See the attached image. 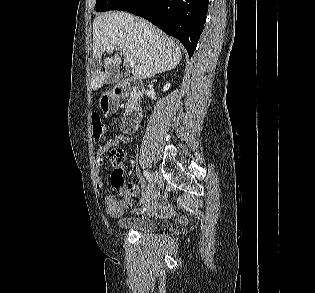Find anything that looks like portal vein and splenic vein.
<instances>
[{"instance_id":"obj_1","label":"portal vein and splenic vein","mask_w":315,"mask_h":293,"mask_svg":"<svg viewBox=\"0 0 315 293\" xmlns=\"http://www.w3.org/2000/svg\"><path fill=\"white\" fill-rule=\"evenodd\" d=\"M114 48H115V44H111L110 46H108L107 49H108L109 51H112ZM126 58H127V62H128L129 67L133 68V67L135 66V61H134V59H133L132 57H130V56L128 55V53L126 54Z\"/></svg>"}]
</instances>
